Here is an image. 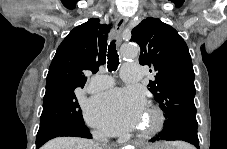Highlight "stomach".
I'll use <instances>...</instances> for the list:
<instances>
[{
  "instance_id": "0dacf381",
  "label": "stomach",
  "mask_w": 227,
  "mask_h": 149,
  "mask_svg": "<svg viewBox=\"0 0 227 149\" xmlns=\"http://www.w3.org/2000/svg\"><path fill=\"white\" fill-rule=\"evenodd\" d=\"M144 149H171V148L167 147L166 145L156 144L154 146H149L148 148H144Z\"/></svg>"
}]
</instances>
